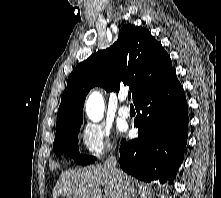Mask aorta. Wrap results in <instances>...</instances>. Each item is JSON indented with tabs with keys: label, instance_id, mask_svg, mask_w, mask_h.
Segmentation results:
<instances>
[{
	"label": "aorta",
	"instance_id": "obj_1",
	"mask_svg": "<svg viewBox=\"0 0 221 198\" xmlns=\"http://www.w3.org/2000/svg\"><path fill=\"white\" fill-rule=\"evenodd\" d=\"M104 113V100L102 95L94 91L92 92L86 101V114L88 118L93 122H99Z\"/></svg>",
	"mask_w": 221,
	"mask_h": 198
}]
</instances>
